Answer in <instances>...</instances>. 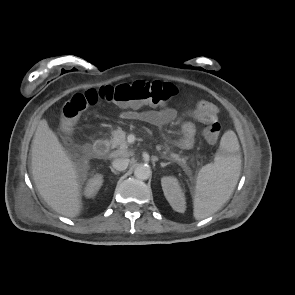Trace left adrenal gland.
Here are the masks:
<instances>
[{"label":"left adrenal gland","mask_w":295,"mask_h":295,"mask_svg":"<svg viewBox=\"0 0 295 295\" xmlns=\"http://www.w3.org/2000/svg\"><path fill=\"white\" fill-rule=\"evenodd\" d=\"M169 164H170V162H167V163H163V162H161V163H160L161 167H165V166H167V165H169Z\"/></svg>","instance_id":"obj_1"}]
</instances>
